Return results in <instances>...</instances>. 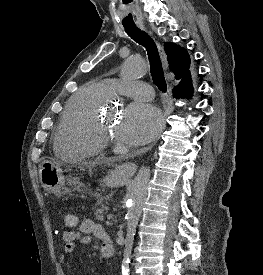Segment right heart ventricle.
<instances>
[{
  "mask_svg": "<svg viewBox=\"0 0 263 275\" xmlns=\"http://www.w3.org/2000/svg\"><path fill=\"white\" fill-rule=\"evenodd\" d=\"M109 94L102 83L93 82L83 86L71 97L54 137V148L58 154L81 159L99 153L100 148L86 138L85 131Z\"/></svg>",
  "mask_w": 263,
  "mask_h": 275,
  "instance_id": "right-heart-ventricle-1",
  "label": "right heart ventricle"
}]
</instances>
